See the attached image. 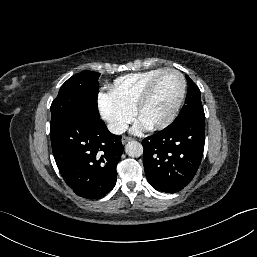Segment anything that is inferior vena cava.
<instances>
[{"label":"inferior vena cava","mask_w":257,"mask_h":257,"mask_svg":"<svg viewBox=\"0 0 257 257\" xmlns=\"http://www.w3.org/2000/svg\"><path fill=\"white\" fill-rule=\"evenodd\" d=\"M107 128L111 133L120 135L127 130L128 125L123 121L111 120L108 122Z\"/></svg>","instance_id":"inferior-vena-cava-1"}]
</instances>
